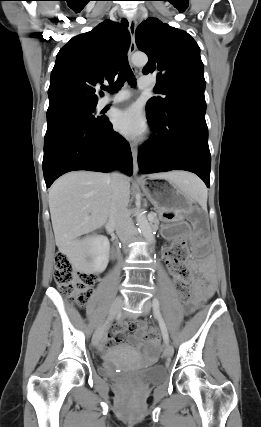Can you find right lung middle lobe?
Segmentation results:
<instances>
[{
    "label": "right lung middle lobe",
    "mask_w": 261,
    "mask_h": 427,
    "mask_svg": "<svg viewBox=\"0 0 261 427\" xmlns=\"http://www.w3.org/2000/svg\"><path fill=\"white\" fill-rule=\"evenodd\" d=\"M96 105H66L54 109H48L47 111V122L61 120L66 118H75L91 123H98L106 120V118H96L93 113Z\"/></svg>",
    "instance_id": "right-lung-middle-lobe-1"
}]
</instances>
